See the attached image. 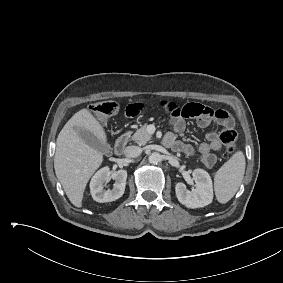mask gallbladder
Wrapping results in <instances>:
<instances>
[{
    "instance_id": "obj_1",
    "label": "gallbladder",
    "mask_w": 283,
    "mask_h": 283,
    "mask_svg": "<svg viewBox=\"0 0 283 283\" xmlns=\"http://www.w3.org/2000/svg\"><path fill=\"white\" fill-rule=\"evenodd\" d=\"M76 131L79 133L84 142L89 146L104 154L111 153L108 143H103L93 133L81 128H76Z\"/></svg>"
}]
</instances>
